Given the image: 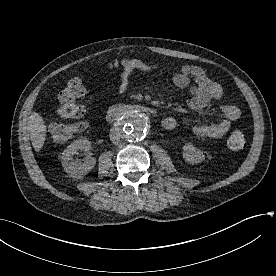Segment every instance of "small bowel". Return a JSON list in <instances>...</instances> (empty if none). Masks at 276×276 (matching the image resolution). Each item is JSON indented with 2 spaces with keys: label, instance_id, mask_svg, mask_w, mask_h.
Listing matches in <instances>:
<instances>
[{
  "label": "small bowel",
  "instance_id": "small-bowel-1",
  "mask_svg": "<svg viewBox=\"0 0 276 276\" xmlns=\"http://www.w3.org/2000/svg\"><path fill=\"white\" fill-rule=\"evenodd\" d=\"M156 68L154 64H147L140 60H132V67L126 68L120 75L117 91L123 94L129 83V77L135 69L149 71ZM173 83L178 88L189 89L188 106L195 112L202 111L211 101L222 98L223 89L213 81L207 73L198 66L183 65L179 72L173 76ZM218 118L214 121L195 118H185L184 122L193 125L194 133L199 137L218 138L225 135L241 116L240 109L235 105L222 104L217 108ZM162 125L167 130H172L177 125L174 117H166Z\"/></svg>",
  "mask_w": 276,
  "mask_h": 276
}]
</instances>
